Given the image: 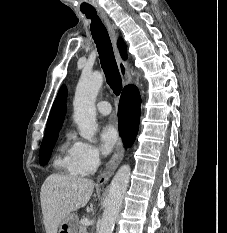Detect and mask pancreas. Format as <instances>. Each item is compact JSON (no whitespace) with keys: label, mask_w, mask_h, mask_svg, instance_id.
Here are the masks:
<instances>
[{"label":"pancreas","mask_w":227,"mask_h":233,"mask_svg":"<svg viewBox=\"0 0 227 233\" xmlns=\"http://www.w3.org/2000/svg\"><path fill=\"white\" fill-rule=\"evenodd\" d=\"M78 228H79L78 233H85L86 232V227L81 222L79 223Z\"/></svg>","instance_id":"1"}]
</instances>
